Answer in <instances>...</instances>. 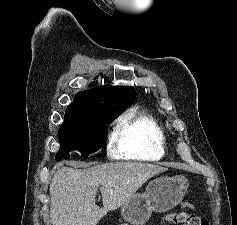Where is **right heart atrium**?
<instances>
[{"label": "right heart atrium", "mask_w": 237, "mask_h": 225, "mask_svg": "<svg viewBox=\"0 0 237 225\" xmlns=\"http://www.w3.org/2000/svg\"><path fill=\"white\" fill-rule=\"evenodd\" d=\"M109 150L113 152V147H110Z\"/></svg>", "instance_id": "obj_1"}]
</instances>
